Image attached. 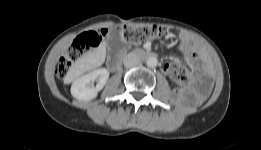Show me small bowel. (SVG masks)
<instances>
[{
  "label": "small bowel",
  "mask_w": 261,
  "mask_h": 150,
  "mask_svg": "<svg viewBox=\"0 0 261 150\" xmlns=\"http://www.w3.org/2000/svg\"><path fill=\"white\" fill-rule=\"evenodd\" d=\"M179 38L181 41V52H182L185 60L189 64L193 65L195 63L197 54L195 51V47H194L192 38L183 33L179 35ZM146 46H149V43H147ZM164 70L167 73V64L165 65Z\"/></svg>",
  "instance_id": "c3829d8e"
}]
</instances>
